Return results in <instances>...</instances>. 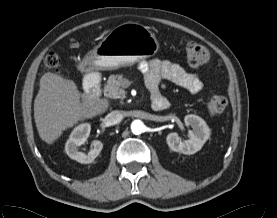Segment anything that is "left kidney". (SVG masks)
Listing matches in <instances>:
<instances>
[{"label": "left kidney", "instance_id": "5707ae66", "mask_svg": "<svg viewBox=\"0 0 277 218\" xmlns=\"http://www.w3.org/2000/svg\"><path fill=\"white\" fill-rule=\"evenodd\" d=\"M186 126L193 130L188 132L189 140L181 141L177 133H169L166 137L167 144L172 151L191 155L199 151L210 137V129L206 122L199 116L189 114L184 118Z\"/></svg>", "mask_w": 277, "mask_h": 218}]
</instances>
